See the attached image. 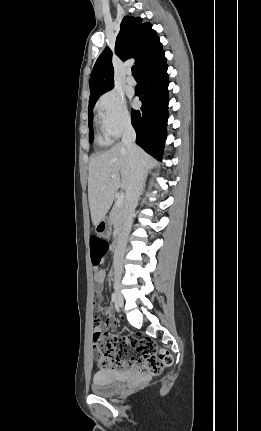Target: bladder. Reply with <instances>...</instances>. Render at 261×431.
Masks as SVG:
<instances>
[{"instance_id": "bladder-1", "label": "bladder", "mask_w": 261, "mask_h": 431, "mask_svg": "<svg viewBox=\"0 0 261 431\" xmlns=\"http://www.w3.org/2000/svg\"><path fill=\"white\" fill-rule=\"evenodd\" d=\"M124 379L125 376L118 372L100 370L93 375L91 389L96 395L110 396L122 389Z\"/></svg>"}]
</instances>
